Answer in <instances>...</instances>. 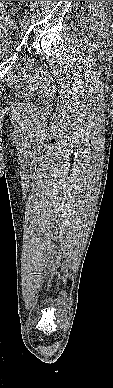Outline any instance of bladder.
<instances>
[{
    "label": "bladder",
    "mask_w": 113,
    "mask_h": 388,
    "mask_svg": "<svg viewBox=\"0 0 113 388\" xmlns=\"http://www.w3.org/2000/svg\"><path fill=\"white\" fill-rule=\"evenodd\" d=\"M13 28V23L11 19L6 15L4 20H0V59L8 56L11 52V44L9 41L5 40L10 31Z\"/></svg>",
    "instance_id": "31cf9c89"
}]
</instances>
